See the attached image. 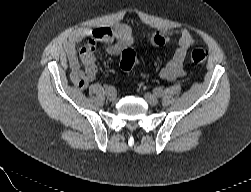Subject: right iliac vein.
<instances>
[{
  "label": "right iliac vein",
  "mask_w": 251,
  "mask_h": 192,
  "mask_svg": "<svg viewBox=\"0 0 251 192\" xmlns=\"http://www.w3.org/2000/svg\"><path fill=\"white\" fill-rule=\"evenodd\" d=\"M107 98L112 102L117 101V95L115 92L107 93Z\"/></svg>",
  "instance_id": "right-iliac-vein-1"
}]
</instances>
